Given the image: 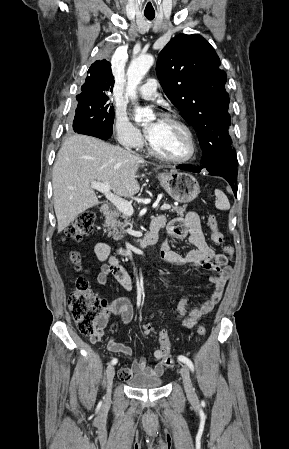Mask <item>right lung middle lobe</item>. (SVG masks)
Instances as JSON below:
<instances>
[{"label": "right lung middle lobe", "mask_w": 289, "mask_h": 449, "mask_svg": "<svg viewBox=\"0 0 289 449\" xmlns=\"http://www.w3.org/2000/svg\"><path fill=\"white\" fill-rule=\"evenodd\" d=\"M78 105L73 121L75 132L84 128L92 129L106 135L112 134L114 120V107L108 101L105 92L95 94H82L76 97Z\"/></svg>", "instance_id": "obj_1"}]
</instances>
